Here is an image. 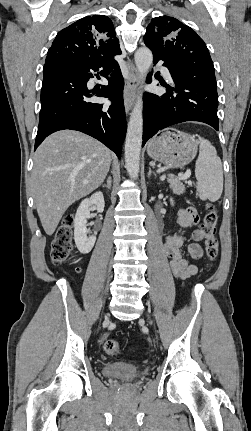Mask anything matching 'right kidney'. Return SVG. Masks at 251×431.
I'll return each mask as SVG.
<instances>
[{
  "label": "right kidney",
  "mask_w": 251,
  "mask_h": 431,
  "mask_svg": "<svg viewBox=\"0 0 251 431\" xmlns=\"http://www.w3.org/2000/svg\"><path fill=\"white\" fill-rule=\"evenodd\" d=\"M96 206L99 213L104 211L105 202L101 192L94 193L90 198L84 199L76 212L74 219V240L76 247L82 254L89 253L94 247L96 236H87V219L90 218V207Z\"/></svg>",
  "instance_id": "ca27d5eb"
}]
</instances>
